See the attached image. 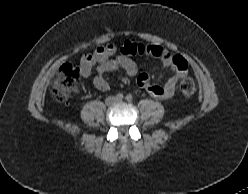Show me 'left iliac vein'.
I'll return each mask as SVG.
<instances>
[{
    "label": "left iliac vein",
    "mask_w": 248,
    "mask_h": 194,
    "mask_svg": "<svg viewBox=\"0 0 248 194\" xmlns=\"http://www.w3.org/2000/svg\"><path fill=\"white\" fill-rule=\"evenodd\" d=\"M116 102H117V103H120V102H122V100H116Z\"/></svg>",
    "instance_id": "obj_1"
}]
</instances>
